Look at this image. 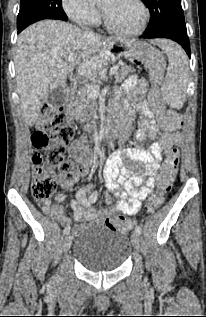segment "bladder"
Masks as SVG:
<instances>
[{"mask_svg": "<svg viewBox=\"0 0 206 317\" xmlns=\"http://www.w3.org/2000/svg\"><path fill=\"white\" fill-rule=\"evenodd\" d=\"M129 237L102 226L84 227L73 245V256L91 271H111L121 267L132 253Z\"/></svg>", "mask_w": 206, "mask_h": 317, "instance_id": "obj_1", "label": "bladder"}]
</instances>
